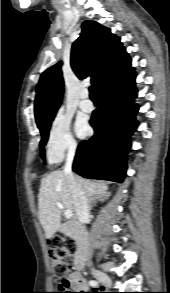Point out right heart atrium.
<instances>
[{
	"label": "right heart atrium",
	"mask_w": 170,
	"mask_h": 293,
	"mask_svg": "<svg viewBox=\"0 0 170 293\" xmlns=\"http://www.w3.org/2000/svg\"><path fill=\"white\" fill-rule=\"evenodd\" d=\"M77 144L71 134L70 120L57 114L49 127L46 142V155L50 163L60 162L66 154H73Z\"/></svg>",
	"instance_id": "right-heart-atrium-1"
}]
</instances>
